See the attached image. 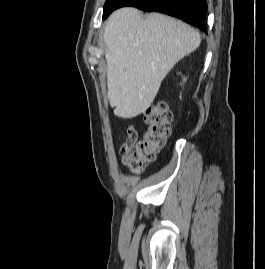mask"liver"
Here are the masks:
<instances>
[{"mask_svg":"<svg viewBox=\"0 0 265 269\" xmlns=\"http://www.w3.org/2000/svg\"><path fill=\"white\" fill-rule=\"evenodd\" d=\"M200 42L198 31L160 13L145 19L132 7L112 13L104 43L108 99L114 114L129 119L144 112L168 72Z\"/></svg>","mask_w":265,"mask_h":269,"instance_id":"liver-1","label":"liver"}]
</instances>
